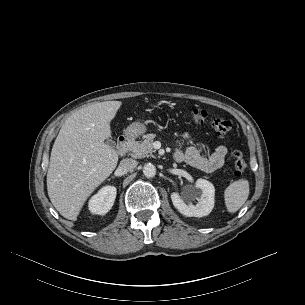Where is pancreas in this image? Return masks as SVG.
<instances>
[{"mask_svg":"<svg viewBox=\"0 0 305 305\" xmlns=\"http://www.w3.org/2000/svg\"><path fill=\"white\" fill-rule=\"evenodd\" d=\"M155 136V134H147L144 136L143 141L132 142L130 146L132 157L141 159L144 157L153 156L154 150L152 144Z\"/></svg>","mask_w":305,"mask_h":305,"instance_id":"pancreas-1","label":"pancreas"}]
</instances>
